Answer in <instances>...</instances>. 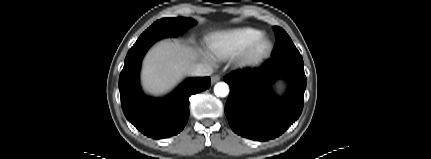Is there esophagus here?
Wrapping results in <instances>:
<instances>
[{"instance_id":"esophagus-1","label":"esophagus","mask_w":431,"mask_h":159,"mask_svg":"<svg viewBox=\"0 0 431 159\" xmlns=\"http://www.w3.org/2000/svg\"><path fill=\"white\" fill-rule=\"evenodd\" d=\"M220 78L221 77L219 75H213L211 77V83L214 84V83L218 82L220 80Z\"/></svg>"}]
</instances>
